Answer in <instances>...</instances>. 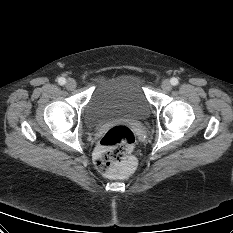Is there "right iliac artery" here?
<instances>
[{"instance_id":"obj_1","label":"right iliac artery","mask_w":233,"mask_h":233,"mask_svg":"<svg viewBox=\"0 0 233 233\" xmlns=\"http://www.w3.org/2000/svg\"><path fill=\"white\" fill-rule=\"evenodd\" d=\"M58 83L60 85H64L66 83V79L64 77H60V78H58Z\"/></svg>"}]
</instances>
